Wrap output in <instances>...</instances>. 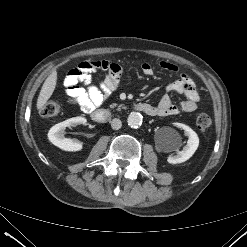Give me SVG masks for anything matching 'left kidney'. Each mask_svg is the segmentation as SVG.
Instances as JSON below:
<instances>
[{"instance_id":"1","label":"left kidney","mask_w":247,"mask_h":247,"mask_svg":"<svg viewBox=\"0 0 247 247\" xmlns=\"http://www.w3.org/2000/svg\"><path fill=\"white\" fill-rule=\"evenodd\" d=\"M179 126L184 130L185 135L188 137L186 146L175 156H169L168 162L171 164H179L187 161L195 153L199 146V138L195 131H193L189 126L184 124H179ZM167 143L171 147H177L180 145V137L174 131L169 130L166 133Z\"/></svg>"}]
</instances>
